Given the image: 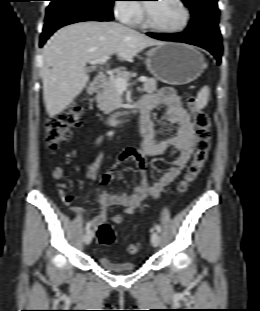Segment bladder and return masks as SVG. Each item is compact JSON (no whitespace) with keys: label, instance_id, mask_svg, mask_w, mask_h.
Returning a JSON list of instances; mask_svg holds the SVG:
<instances>
[{"label":"bladder","instance_id":"31cf9c89","mask_svg":"<svg viewBox=\"0 0 260 311\" xmlns=\"http://www.w3.org/2000/svg\"><path fill=\"white\" fill-rule=\"evenodd\" d=\"M95 257L100 266L110 271H130L137 268L135 262H115L108 258L103 252H99Z\"/></svg>","mask_w":260,"mask_h":311}]
</instances>
